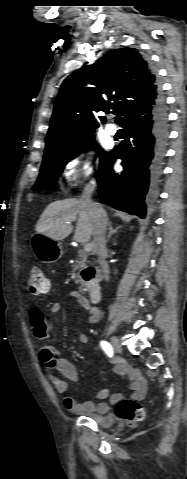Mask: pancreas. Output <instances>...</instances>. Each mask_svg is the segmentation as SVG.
Returning <instances> with one entry per match:
<instances>
[{
    "label": "pancreas",
    "instance_id": "1",
    "mask_svg": "<svg viewBox=\"0 0 187 479\" xmlns=\"http://www.w3.org/2000/svg\"><path fill=\"white\" fill-rule=\"evenodd\" d=\"M81 259L82 261L78 262L75 266H74V271H76V273H74V276H75V279L77 282H80L81 283V286H80V289L81 290H85L89 287V283L86 282L85 280L82 279L81 277V271L86 267V257H85V254H82L81 255Z\"/></svg>",
    "mask_w": 187,
    "mask_h": 479
}]
</instances>
